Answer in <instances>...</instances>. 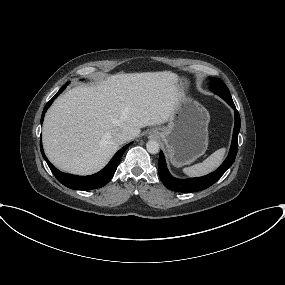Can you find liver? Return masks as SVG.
Instances as JSON below:
<instances>
[{
    "instance_id": "6515ba94",
    "label": "liver",
    "mask_w": 285,
    "mask_h": 285,
    "mask_svg": "<svg viewBox=\"0 0 285 285\" xmlns=\"http://www.w3.org/2000/svg\"><path fill=\"white\" fill-rule=\"evenodd\" d=\"M181 94L170 71L116 74L96 86H77L45 116V153L62 171L95 173L119 148L115 132L125 131L132 140L141 128L167 122Z\"/></svg>"
}]
</instances>
